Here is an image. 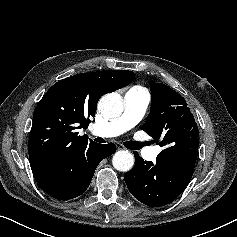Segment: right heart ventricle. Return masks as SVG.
Segmentation results:
<instances>
[{
    "label": "right heart ventricle",
    "instance_id": "obj_1",
    "mask_svg": "<svg viewBox=\"0 0 237 237\" xmlns=\"http://www.w3.org/2000/svg\"><path fill=\"white\" fill-rule=\"evenodd\" d=\"M133 89H136V90L141 91V92H146L145 89L140 87V86H136Z\"/></svg>",
    "mask_w": 237,
    "mask_h": 237
}]
</instances>
